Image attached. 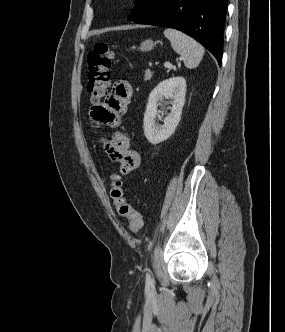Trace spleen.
Segmentation results:
<instances>
[{
  "instance_id": "obj_1",
  "label": "spleen",
  "mask_w": 285,
  "mask_h": 332,
  "mask_svg": "<svg viewBox=\"0 0 285 332\" xmlns=\"http://www.w3.org/2000/svg\"><path fill=\"white\" fill-rule=\"evenodd\" d=\"M164 36L169 39L174 51L181 55L187 68L193 69L199 65L205 52L202 45L175 29H165Z\"/></svg>"
}]
</instances>
